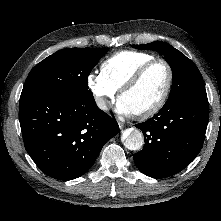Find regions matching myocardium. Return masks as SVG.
I'll list each match as a JSON object with an SVG mask.
<instances>
[{"instance_id": "obj_1", "label": "myocardium", "mask_w": 221, "mask_h": 221, "mask_svg": "<svg viewBox=\"0 0 221 221\" xmlns=\"http://www.w3.org/2000/svg\"><path fill=\"white\" fill-rule=\"evenodd\" d=\"M156 63H161L166 67L167 73H168L167 84H166V87H165V90H164L162 96L153 106H151L150 108H148L146 110L133 113V115L139 119H147V118L154 116L166 104V102L170 96L172 86H173V80H174V73H173V69H172L171 65L169 64L168 61H166L165 59H162V58L151 59V60L145 62L144 64H142L119 89L118 99L120 100L121 97L126 92L131 90L140 81V79L143 77V75L146 73V71Z\"/></svg>"}]
</instances>
